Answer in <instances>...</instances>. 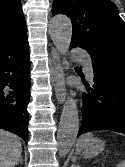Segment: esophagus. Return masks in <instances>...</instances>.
<instances>
[{
    "label": "esophagus",
    "instance_id": "obj_1",
    "mask_svg": "<svg viewBox=\"0 0 125 167\" xmlns=\"http://www.w3.org/2000/svg\"><path fill=\"white\" fill-rule=\"evenodd\" d=\"M54 75L55 95L60 104L65 100L66 88L64 83V72L61 64V56L55 48L51 50Z\"/></svg>",
    "mask_w": 125,
    "mask_h": 167
}]
</instances>
